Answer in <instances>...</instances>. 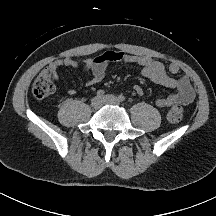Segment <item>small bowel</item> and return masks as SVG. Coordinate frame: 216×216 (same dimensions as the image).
Masks as SVG:
<instances>
[{
	"label": "small bowel",
	"mask_w": 216,
	"mask_h": 216,
	"mask_svg": "<svg viewBox=\"0 0 216 216\" xmlns=\"http://www.w3.org/2000/svg\"><path fill=\"white\" fill-rule=\"evenodd\" d=\"M113 63L135 64L140 68V73L143 77L159 85L168 88H176L177 91L175 93L156 100V105L159 108H167L176 104L188 105L195 97L194 90L187 76L174 78L169 75V73L177 74L180 71V67L177 63H171L168 68H166L162 62L147 55H134L121 51L109 50L81 61L73 58L55 60L51 62L44 71L50 72L54 76V79L59 80L61 68L68 67L71 69H78L82 64L84 70L90 74V77L85 83L86 86L90 87L98 84L105 78L109 65ZM133 88L137 94L143 93V88L140 85H134ZM75 92L73 88L66 89V93L69 95H74Z\"/></svg>",
	"instance_id": "1"
}]
</instances>
